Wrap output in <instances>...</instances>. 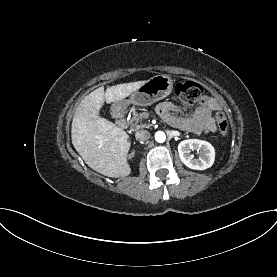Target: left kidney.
I'll list each match as a JSON object with an SVG mask.
<instances>
[{
	"mask_svg": "<svg viewBox=\"0 0 277 277\" xmlns=\"http://www.w3.org/2000/svg\"><path fill=\"white\" fill-rule=\"evenodd\" d=\"M192 150L200 151L199 158H194ZM181 161L190 169L205 170L211 167L215 160V149L207 141L199 139H188L181 141L178 145Z\"/></svg>",
	"mask_w": 277,
	"mask_h": 277,
	"instance_id": "5707ae66",
	"label": "left kidney"
}]
</instances>
